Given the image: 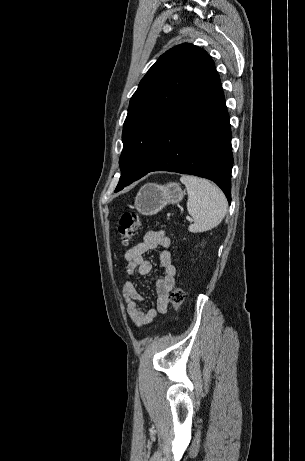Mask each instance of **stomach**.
Wrapping results in <instances>:
<instances>
[{
	"mask_svg": "<svg viewBox=\"0 0 305 461\" xmlns=\"http://www.w3.org/2000/svg\"><path fill=\"white\" fill-rule=\"evenodd\" d=\"M184 197V191L177 183L158 185L148 183L142 186L135 197L136 210L146 216L157 214L167 204H177Z\"/></svg>",
	"mask_w": 305,
	"mask_h": 461,
	"instance_id": "obj_1",
	"label": "stomach"
}]
</instances>
